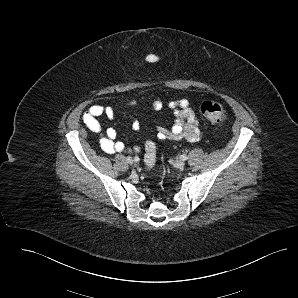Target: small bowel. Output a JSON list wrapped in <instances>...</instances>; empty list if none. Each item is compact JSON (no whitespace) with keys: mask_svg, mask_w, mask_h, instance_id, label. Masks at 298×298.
Segmentation results:
<instances>
[{"mask_svg":"<svg viewBox=\"0 0 298 298\" xmlns=\"http://www.w3.org/2000/svg\"><path fill=\"white\" fill-rule=\"evenodd\" d=\"M138 102L135 99L128 101L125 107H135ZM163 102L157 100L152 103V108L156 111L163 109ZM167 107L173 111L174 121L169 128L158 126L156 128V136L159 140H186L190 142L198 141L202 135L200 122L190 107L187 99L178 101H170ZM116 109L111 106H103L100 104L92 105L84 114L83 122L85 126L94 133L101 134L100 146L107 154L122 152L125 145L121 141L116 140L117 132L114 128H108L103 131L99 117L106 116L112 119ZM134 131L140 130V122L136 119L132 123ZM138 150V147H135Z\"/></svg>","mask_w":298,"mask_h":298,"instance_id":"1","label":"small bowel"}]
</instances>
